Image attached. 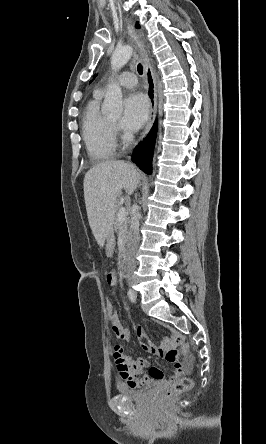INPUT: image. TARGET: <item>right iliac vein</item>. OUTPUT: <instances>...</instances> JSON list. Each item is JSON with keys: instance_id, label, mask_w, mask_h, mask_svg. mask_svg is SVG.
Returning a JSON list of instances; mask_svg holds the SVG:
<instances>
[{"instance_id": "obj_1", "label": "right iliac vein", "mask_w": 266, "mask_h": 444, "mask_svg": "<svg viewBox=\"0 0 266 444\" xmlns=\"http://www.w3.org/2000/svg\"><path fill=\"white\" fill-rule=\"evenodd\" d=\"M128 284H129L130 286H132V285L134 284V281H133L132 279H129V280H128Z\"/></svg>"}]
</instances>
